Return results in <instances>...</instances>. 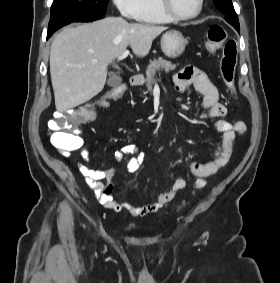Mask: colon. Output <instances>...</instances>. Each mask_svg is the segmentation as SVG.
<instances>
[{
    "mask_svg": "<svg viewBox=\"0 0 280 283\" xmlns=\"http://www.w3.org/2000/svg\"><path fill=\"white\" fill-rule=\"evenodd\" d=\"M223 46V53L220 61V74L222 81L230 91L235 90V70L237 64V43L233 39H226V31L220 25H212L207 31L206 49L213 53ZM109 98H119L126 87H106ZM100 111L99 107L92 110L90 107H77L76 110H57L53 114L48 127L50 130V140L52 145L63 153H69L78 149L82 140L75 133L78 132L76 127L80 122L89 124L90 120L98 119L96 112ZM73 126V127H72Z\"/></svg>",
    "mask_w": 280,
    "mask_h": 283,
    "instance_id": "5ec220e1",
    "label": "colon"
}]
</instances>
